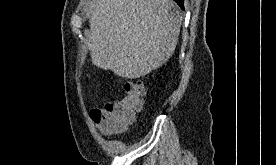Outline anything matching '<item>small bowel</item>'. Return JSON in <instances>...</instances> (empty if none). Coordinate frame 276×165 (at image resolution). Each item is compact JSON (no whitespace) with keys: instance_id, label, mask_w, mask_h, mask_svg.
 <instances>
[{"instance_id":"c3829d8e","label":"small bowel","mask_w":276,"mask_h":165,"mask_svg":"<svg viewBox=\"0 0 276 165\" xmlns=\"http://www.w3.org/2000/svg\"><path fill=\"white\" fill-rule=\"evenodd\" d=\"M102 110H103V108H96V109H93V110L91 111V118H92L93 121H95V123L97 124V126H98L102 131L108 132L109 125H108L107 121H105V120H103V119L97 121V120L94 119V117H93L94 114L101 113Z\"/></svg>"}]
</instances>
